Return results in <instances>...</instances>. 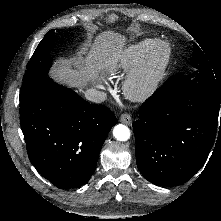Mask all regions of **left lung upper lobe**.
<instances>
[{
  "label": "left lung upper lobe",
  "instance_id": "5c2ea615",
  "mask_svg": "<svg viewBox=\"0 0 221 221\" xmlns=\"http://www.w3.org/2000/svg\"><path fill=\"white\" fill-rule=\"evenodd\" d=\"M193 52L191 55L190 62L192 66L196 69L195 73H200L203 75L214 76V72L200 48L196 45H193Z\"/></svg>",
  "mask_w": 221,
  "mask_h": 221
}]
</instances>
